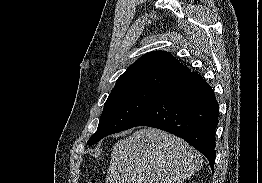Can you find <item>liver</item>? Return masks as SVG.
Instances as JSON below:
<instances>
[{
  "label": "liver",
  "instance_id": "6515ba94",
  "mask_svg": "<svg viewBox=\"0 0 262 183\" xmlns=\"http://www.w3.org/2000/svg\"><path fill=\"white\" fill-rule=\"evenodd\" d=\"M202 164V155L183 139L143 128L114 145L106 183H183Z\"/></svg>",
  "mask_w": 262,
  "mask_h": 183
}]
</instances>
